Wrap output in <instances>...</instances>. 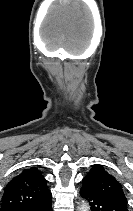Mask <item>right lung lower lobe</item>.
<instances>
[{
    "label": "right lung lower lobe",
    "mask_w": 133,
    "mask_h": 211,
    "mask_svg": "<svg viewBox=\"0 0 133 211\" xmlns=\"http://www.w3.org/2000/svg\"><path fill=\"white\" fill-rule=\"evenodd\" d=\"M27 211H52L51 197L42 203H38L30 207L29 209H27Z\"/></svg>",
    "instance_id": "1"
}]
</instances>
